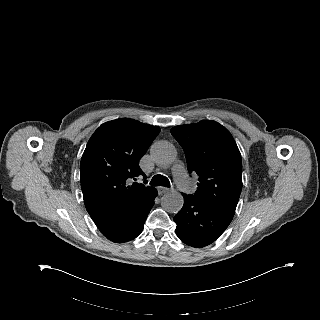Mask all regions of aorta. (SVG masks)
I'll use <instances>...</instances> for the list:
<instances>
[{
  "instance_id": "1",
  "label": "aorta",
  "mask_w": 320,
  "mask_h": 320,
  "mask_svg": "<svg viewBox=\"0 0 320 320\" xmlns=\"http://www.w3.org/2000/svg\"><path fill=\"white\" fill-rule=\"evenodd\" d=\"M151 159L161 167L170 166L177 157L175 147L167 141H159L152 145ZM183 196L176 191L164 194L161 199L162 207L169 213H177L183 207Z\"/></svg>"
}]
</instances>
